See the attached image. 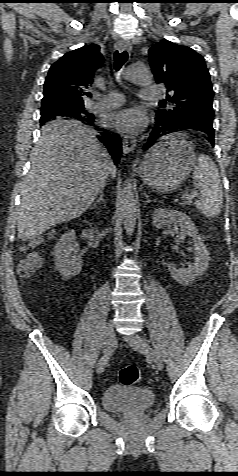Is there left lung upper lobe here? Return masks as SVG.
Masks as SVG:
<instances>
[{
  "mask_svg": "<svg viewBox=\"0 0 238 476\" xmlns=\"http://www.w3.org/2000/svg\"><path fill=\"white\" fill-rule=\"evenodd\" d=\"M157 83L166 86L174 107L159 109L158 119L200 115L213 118V89L204 58L187 46L166 39L149 49ZM165 107V106H163Z\"/></svg>",
  "mask_w": 238,
  "mask_h": 476,
  "instance_id": "5c2ea615",
  "label": "left lung upper lobe"
}]
</instances>
